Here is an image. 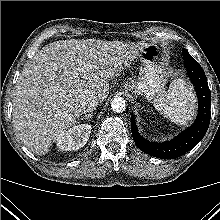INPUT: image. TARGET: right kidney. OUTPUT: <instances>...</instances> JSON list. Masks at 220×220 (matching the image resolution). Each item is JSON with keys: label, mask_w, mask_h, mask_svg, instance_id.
Masks as SVG:
<instances>
[{"label": "right kidney", "mask_w": 220, "mask_h": 220, "mask_svg": "<svg viewBox=\"0 0 220 220\" xmlns=\"http://www.w3.org/2000/svg\"><path fill=\"white\" fill-rule=\"evenodd\" d=\"M91 125L79 124L62 132L56 138L57 148L61 151H75L87 143L91 133Z\"/></svg>", "instance_id": "ca27d5eb"}]
</instances>
